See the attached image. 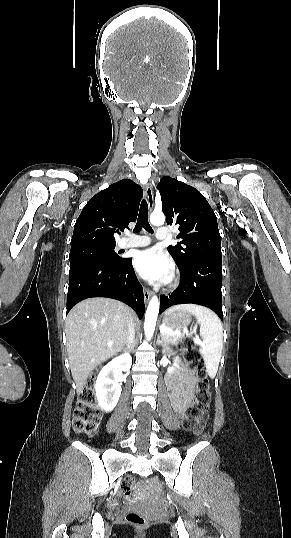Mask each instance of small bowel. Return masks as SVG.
I'll return each instance as SVG.
<instances>
[{"instance_id": "c3829d8e", "label": "small bowel", "mask_w": 291, "mask_h": 538, "mask_svg": "<svg viewBox=\"0 0 291 538\" xmlns=\"http://www.w3.org/2000/svg\"><path fill=\"white\" fill-rule=\"evenodd\" d=\"M196 381L193 372L183 365H180L176 373L170 378L171 398L177 411L181 410V405L184 401L190 399Z\"/></svg>"}]
</instances>
